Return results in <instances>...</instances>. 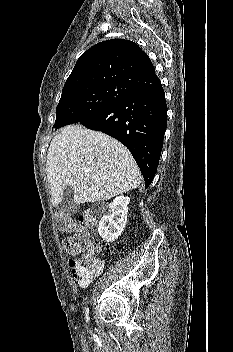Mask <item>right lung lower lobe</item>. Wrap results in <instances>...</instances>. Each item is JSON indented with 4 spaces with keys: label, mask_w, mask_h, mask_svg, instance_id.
<instances>
[{
    "label": "right lung lower lobe",
    "mask_w": 233,
    "mask_h": 352,
    "mask_svg": "<svg viewBox=\"0 0 233 352\" xmlns=\"http://www.w3.org/2000/svg\"><path fill=\"white\" fill-rule=\"evenodd\" d=\"M79 123L123 143L148 188L157 171L167 127V105L160 80Z\"/></svg>",
    "instance_id": "98d812e1"
}]
</instances>
